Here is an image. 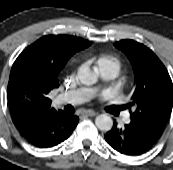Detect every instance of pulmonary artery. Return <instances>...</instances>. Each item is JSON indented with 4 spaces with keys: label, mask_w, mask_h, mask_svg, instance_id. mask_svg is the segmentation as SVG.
I'll return each instance as SVG.
<instances>
[{
    "label": "pulmonary artery",
    "mask_w": 173,
    "mask_h": 170,
    "mask_svg": "<svg viewBox=\"0 0 173 170\" xmlns=\"http://www.w3.org/2000/svg\"><path fill=\"white\" fill-rule=\"evenodd\" d=\"M97 70L102 81L111 80L116 75V70L114 68L102 64H98ZM97 92H98V87L80 88L62 93L59 96V100L63 103H69L73 105L80 104L93 98L97 94ZM124 122L125 123L129 122L128 116L124 118Z\"/></svg>",
    "instance_id": "e3ab8cb5"
}]
</instances>
